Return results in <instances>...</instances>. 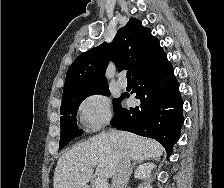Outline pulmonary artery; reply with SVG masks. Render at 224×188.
Listing matches in <instances>:
<instances>
[{
	"label": "pulmonary artery",
	"mask_w": 224,
	"mask_h": 188,
	"mask_svg": "<svg viewBox=\"0 0 224 188\" xmlns=\"http://www.w3.org/2000/svg\"><path fill=\"white\" fill-rule=\"evenodd\" d=\"M117 85L121 89H125L127 87V79L124 74H120L118 79H117Z\"/></svg>",
	"instance_id": "obj_1"
}]
</instances>
